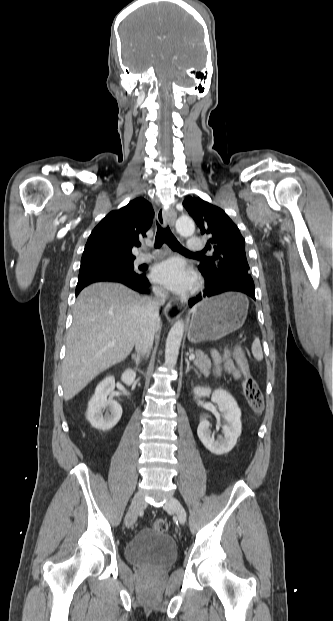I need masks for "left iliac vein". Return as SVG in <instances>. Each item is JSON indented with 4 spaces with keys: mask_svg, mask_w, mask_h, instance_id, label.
<instances>
[{
    "mask_svg": "<svg viewBox=\"0 0 333 621\" xmlns=\"http://www.w3.org/2000/svg\"><path fill=\"white\" fill-rule=\"evenodd\" d=\"M164 509L172 511L176 514L179 522L184 524L186 521V511L182 504L174 497L170 496L168 501L164 504Z\"/></svg>",
    "mask_w": 333,
    "mask_h": 621,
    "instance_id": "1",
    "label": "left iliac vein"
}]
</instances>
